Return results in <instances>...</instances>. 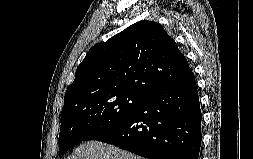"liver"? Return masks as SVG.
Instances as JSON below:
<instances>
[{
	"label": "liver",
	"instance_id": "6515ba94",
	"mask_svg": "<svg viewBox=\"0 0 253 159\" xmlns=\"http://www.w3.org/2000/svg\"><path fill=\"white\" fill-rule=\"evenodd\" d=\"M67 159H145L114 145L88 141L80 145Z\"/></svg>",
	"mask_w": 253,
	"mask_h": 159
}]
</instances>
